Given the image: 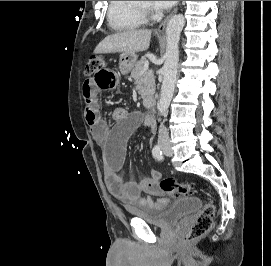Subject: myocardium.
I'll list each match as a JSON object with an SVG mask.
<instances>
[{
  "mask_svg": "<svg viewBox=\"0 0 271 266\" xmlns=\"http://www.w3.org/2000/svg\"><path fill=\"white\" fill-rule=\"evenodd\" d=\"M137 8H138L141 12H143V13L146 11V7H140V6H139V7H137Z\"/></svg>",
  "mask_w": 271,
  "mask_h": 266,
  "instance_id": "obj_1",
  "label": "myocardium"
}]
</instances>
